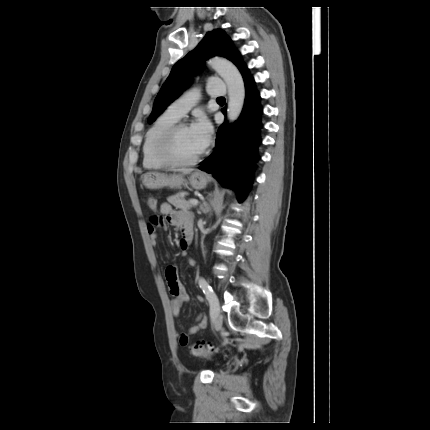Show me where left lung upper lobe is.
I'll return each mask as SVG.
<instances>
[{
    "label": "left lung upper lobe",
    "mask_w": 430,
    "mask_h": 430,
    "mask_svg": "<svg viewBox=\"0 0 430 430\" xmlns=\"http://www.w3.org/2000/svg\"><path fill=\"white\" fill-rule=\"evenodd\" d=\"M213 56H223L232 61L241 74L247 71L239 51L235 50L226 33L217 29L203 38L199 45L172 68L171 73L158 93L148 122L152 123L188 87L192 76L200 69L203 61Z\"/></svg>",
    "instance_id": "1"
}]
</instances>
